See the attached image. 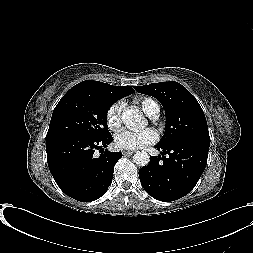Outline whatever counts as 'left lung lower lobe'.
Segmentation results:
<instances>
[{
  "mask_svg": "<svg viewBox=\"0 0 253 253\" xmlns=\"http://www.w3.org/2000/svg\"><path fill=\"white\" fill-rule=\"evenodd\" d=\"M209 146L210 141L192 137L157 144L155 148L162 150V156H150L149 164L139 171L144 190L163 202L187 195L206 167Z\"/></svg>",
  "mask_w": 253,
  "mask_h": 253,
  "instance_id": "0a47b994",
  "label": "left lung lower lobe"
}]
</instances>
